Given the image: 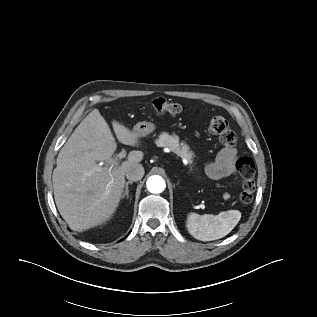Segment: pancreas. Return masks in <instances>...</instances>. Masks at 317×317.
<instances>
[{
	"instance_id": "obj_1",
	"label": "pancreas",
	"mask_w": 317,
	"mask_h": 317,
	"mask_svg": "<svg viewBox=\"0 0 317 317\" xmlns=\"http://www.w3.org/2000/svg\"><path fill=\"white\" fill-rule=\"evenodd\" d=\"M158 147H168L172 152L177 156L188 160L189 163H192L194 153L190 151V147L186 144L179 143V137L175 134L169 135V133H162L159 136V139L156 141Z\"/></svg>"
}]
</instances>
